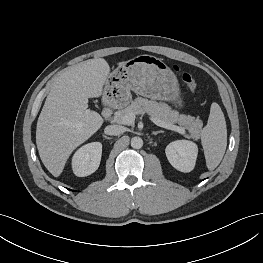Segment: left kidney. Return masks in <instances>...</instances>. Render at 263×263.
<instances>
[{
    "mask_svg": "<svg viewBox=\"0 0 263 263\" xmlns=\"http://www.w3.org/2000/svg\"><path fill=\"white\" fill-rule=\"evenodd\" d=\"M165 153L175 169L186 173L194 169L198 147L192 141L177 140L167 145Z\"/></svg>",
    "mask_w": 263,
    "mask_h": 263,
    "instance_id": "1",
    "label": "left kidney"
}]
</instances>
